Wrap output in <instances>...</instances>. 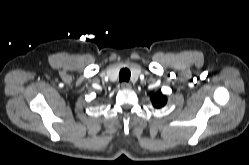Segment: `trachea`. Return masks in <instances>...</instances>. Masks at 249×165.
<instances>
[{"instance_id": "3493384b", "label": "trachea", "mask_w": 249, "mask_h": 165, "mask_svg": "<svg viewBox=\"0 0 249 165\" xmlns=\"http://www.w3.org/2000/svg\"><path fill=\"white\" fill-rule=\"evenodd\" d=\"M131 73L129 71V69L127 68H123L121 69L120 73H119V80L120 82H128L130 79Z\"/></svg>"}]
</instances>
